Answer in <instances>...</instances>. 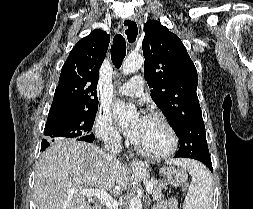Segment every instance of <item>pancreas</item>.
<instances>
[{"instance_id":"obj_1","label":"pancreas","mask_w":253,"mask_h":209,"mask_svg":"<svg viewBox=\"0 0 253 209\" xmlns=\"http://www.w3.org/2000/svg\"><path fill=\"white\" fill-rule=\"evenodd\" d=\"M167 183L166 181H155L153 183V189L151 190V195L153 197V200H161V198L164 196V190H166Z\"/></svg>"}]
</instances>
